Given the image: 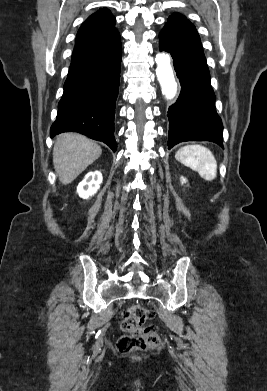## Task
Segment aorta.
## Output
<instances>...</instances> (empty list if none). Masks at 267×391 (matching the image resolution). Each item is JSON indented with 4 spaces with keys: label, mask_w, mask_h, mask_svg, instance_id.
Here are the masks:
<instances>
[{
    "label": "aorta",
    "mask_w": 267,
    "mask_h": 391,
    "mask_svg": "<svg viewBox=\"0 0 267 391\" xmlns=\"http://www.w3.org/2000/svg\"><path fill=\"white\" fill-rule=\"evenodd\" d=\"M156 75L162 94L167 100H172L177 93V83L171 66V58L165 53H158L155 58Z\"/></svg>",
    "instance_id": "762f6f07"
}]
</instances>
